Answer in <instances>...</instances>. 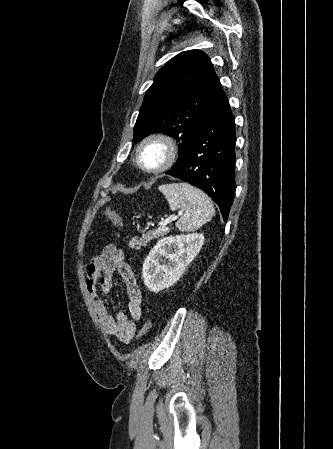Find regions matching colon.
I'll return each instance as SVG.
<instances>
[{
	"mask_svg": "<svg viewBox=\"0 0 333 449\" xmlns=\"http://www.w3.org/2000/svg\"><path fill=\"white\" fill-rule=\"evenodd\" d=\"M104 216L116 227L122 226V218L119 216L118 213H116L114 210L107 208L104 211ZM156 323V313L152 312L149 314V316L146 318L140 332L139 337L146 336L150 330L154 327Z\"/></svg>",
	"mask_w": 333,
	"mask_h": 449,
	"instance_id": "1",
	"label": "colon"
}]
</instances>
